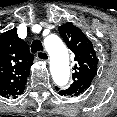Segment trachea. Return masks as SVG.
<instances>
[{
  "mask_svg": "<svg viewBox=\"0 0 117 117\" xmlns=\"http://www.w3.org/2000/svg\"><path fill=\"white\" fill-rule=\"evenodd\" d=\"M31 51L33 53H36V52H41L43 51V46H42V43L40 40H34L31 44Z\"/></svg>",
  "mask_w": 117,
  "mask_h": 117,
  "instance_id": "1",
  "label": "trachea"
}]
</instances>
